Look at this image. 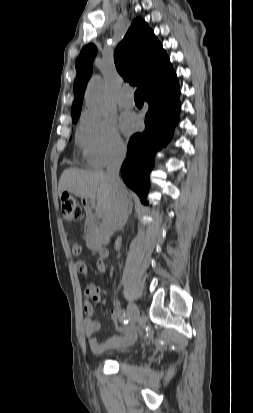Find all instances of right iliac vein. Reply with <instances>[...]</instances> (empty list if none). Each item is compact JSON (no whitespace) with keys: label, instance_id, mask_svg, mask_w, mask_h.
<instances>
[{"label":"right iliac vein","instance_id":"obj_1","mask_svg":"<svg viewBox=\"0 0 253 413\" xmlns=\"http://www.w3.org/2000/svg\"><path fill=\"white\" fill-rule=\"evenodd\" d=\"M127 313L132 323H135L139 319L140 312L138 307L134 303H130L127 306Z\"/></svg>","mask_w":253,"mask_h":413}]
</instances>
